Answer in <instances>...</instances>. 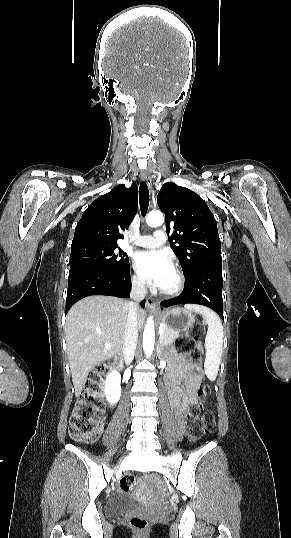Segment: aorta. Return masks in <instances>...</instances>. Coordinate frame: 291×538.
I'll return each mask as SVG.
<instances>
[{"instance_id":"762f6f07","label":"aorta","mask_w":291,"mask_h":538,"mask_svg":"<svg viewBox=\"0 0 291 538\" xmlns=\"http://www.w3.org/2000/svg\"><path fill=\"white\" fill-rule=\"evenodd\" d=\"M164 222V216L161 212H150L146 217V223L150 227H158ZM155 344V328L152 317L147 319L143 332V349L146 356H151Z\"/></svg>"}]
</instances>
